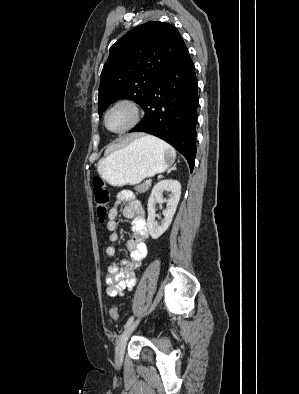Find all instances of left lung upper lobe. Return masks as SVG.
Returning <instances> with one entry per match:
<instances>
[{"mask_svg": "<svg viewBox=\"0 0 299 394\" xmlns=\"http://www.w3.org/2000/svg\"><path fill=\"white\" fill-rule=\"evenodd\" d=\"M185 47L178 30L160 21L147 22L125 34L111 46L101 73L99 115L121 98L142 107L154 82Z\"/></svg>", "mask_w": 299, "mask_h": 394, "instance_id": "left-lung-upper-lobe-1", "label": "left lung upper lobe"}]
</instances>
